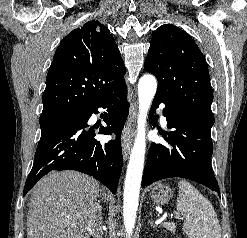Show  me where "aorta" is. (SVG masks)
Wrapping results in <instances>:
<instances>
[{
	"label": "aorta",
	"instance_id": "762f6f07",
	"mask_svg": "<svg viewBox=\"0 0 247 238\" xmlns=\"http://www.w3.org/2000/svg\"><path fill=\"white\" fill-rule=\"evenodd\" d=\"M157 90V81L152 75H144L138 83L139 115L137 135L131 151L123 194V218L126 232L130 235L135 226L140 185L146 149V119Z\"/></svg>",
	"mask_w": 247,
	"mask_h": 238
}]
</instances>
